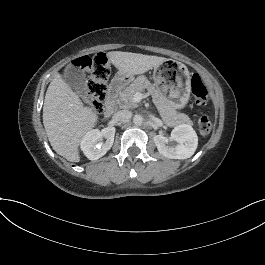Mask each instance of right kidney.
Returning <instances> with one entry per match:
<instances>
[{
  "label": "right kidney",
  "instance_id": "1",
  "mask_svg": "<svg viewBox=\"0 0 265 265\" xmlns=\"http://www.w3.org/2000/svg\"><path fill=\"white\" fill-rule=\"evenodd\" d=\"M116 129L106 127L101 131L93 130L88 133L81 143L84 154L92 161L103 157L113 146ZM105 137V141H103Z\"/></svg>",
  "mask_w": 265,
  "mask_h": 265
}]
</instances>
